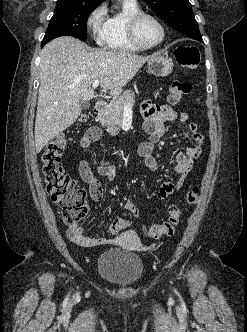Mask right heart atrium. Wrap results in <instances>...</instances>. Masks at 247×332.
I'll return each instance as SVG.
<instances>
[{
    "label": "right heart atrium",
    "mask_w": 247,
    "mask_h": 332,
    "mask_svg": "<svg viewBox=\"0 0 247 332\" xmlns=\"http://www.w3.org/2000/svg\"><path fill=\"white\" fill-rule=\"evenodd\" d=\"M106 20L107 8L105 4H100L95 7L87 18V28L93 39L98 43L102 41Z\"/></svg>",
    "instance_id": "right-heart-atrium-1"
}]
</instances>
